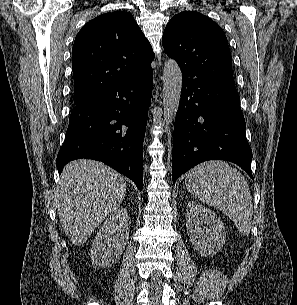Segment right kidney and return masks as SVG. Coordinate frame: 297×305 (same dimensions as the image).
Instances as JSON below:
<instances>
[{
    "label": "right kidney",
    "instance_id": "ca27d5eb",
    "mask_svg": "<svg viewBox=\"0 0 297 305\" xmlns=\"http://www.w3.org/2000/svg\"><path fill=\"white\" fill-rule=\"evenodd\" d=\"M128 221L127 209L119 208L104 222L91 248L93 264L107 267L119 259L129 238Z\"/></svg>",
    "mask_w": 297,
    "mask_h": 305
}]
</instances>
